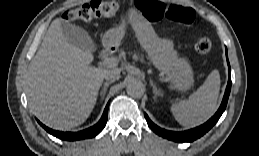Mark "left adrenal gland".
<instances>
[{"label":"left adrenal gland","instance_id":"left-adrenal-gland-1","mask_svg":"<svg viewBox=\"0 0 259 156\" xmlns=\"http://www.w3.org/2000/svg\"><path fill=\"white\" fill-rule=\"evenodd\" d=\"M150 85L153 88L154 98H157V96H160V90L157 89L156 85L153 83V81L150 79Z\"/></svg>","mask_w":259,"mask_h":156}]
</instances>
